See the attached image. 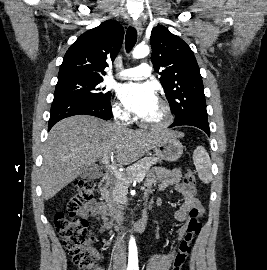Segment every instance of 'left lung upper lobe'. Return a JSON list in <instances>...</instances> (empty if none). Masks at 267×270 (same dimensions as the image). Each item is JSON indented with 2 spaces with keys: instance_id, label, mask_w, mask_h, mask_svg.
<instances>
[{
  "instance_id": "obj_1",
  "label": "left lung upper lobe",
  "mask_w": 267,
  "mask_h": 270,
  "mask_svg": "<svg viewBox=\"0 0 267 270\" xmlns=\"http://www.w3.org/2000/svg\"><path fill=\"white\" fill-rule=\"evenodd\" d=\"M151 61L175 113V122L191 117L207 118L204 87L193 51L164 26L151 33Z\"/></svg>"
}]
</instances>
